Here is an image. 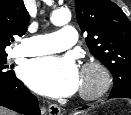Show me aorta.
I'll return each mask as SVG.
<instances>
[{
    "label": "aorta",
    "instance_id": "obj_1",
    "mask_svg": "<svg viewBox=\"0 0 131 115\" xmlns=\"http://www.w3.org/2000/svg\"><path fill=\"white\" fill-rule=\"evenodd\" d=\"M50 20L54 25L62 26L71 20V13L68 9H58L52 13Z\"/></svg>",
    "mask_w": 131,
    "mask_h": 115
}]
</instances>
